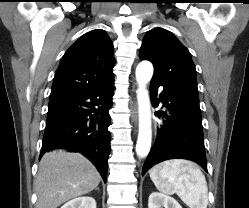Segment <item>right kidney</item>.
<instances>
[{
	"instance_id": "1",
	"label": "right kidney",
	"mask_w": 249,
	"mask_h": 208,
	"mask_svg": "<svg viewBox=\"0 0 249 208\" xmlns=\"http://www.w3.org/2000/svg\"><path fill=\"white\" fill-rule=\"evenodd\" d=\"M61 208H96V201L92 197H78L68 201Z\"/></svg>"
}]
</instances>
